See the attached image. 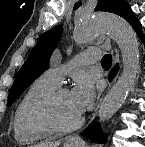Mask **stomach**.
I'll use <instances>...</instances> for the list:
<instances>
[{
  "label": "stomach",
  "instance_id": "stomach-1",
  "mask_svg": "<svg viewBox=\"0 0 145 147\" xmlns=\"http://www.w3.org/2000/svg\"><path fill=\"white\" fill-rule=\"evenodd\" d=\"M64 147H80V145H79V144H75V143H72V144H70V143H65V144H64Z\"/></svg>",
  "mask_w": 145,
  "mask_h": 147
}]
</instances>
